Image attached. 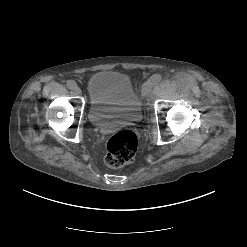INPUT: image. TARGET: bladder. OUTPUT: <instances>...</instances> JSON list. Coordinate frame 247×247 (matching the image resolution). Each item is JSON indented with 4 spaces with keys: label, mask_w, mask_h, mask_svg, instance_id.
Listing matches in <instances>:
<instances>
[{
    "label": "bladder",
    "mask_w": 247,
    "mask_h": 247,
    "mask_svg": "<svg viewBox=\"0 0 247 247\" xmlns=\"http://www.w3.org/2000/svg\"><path fill=\"white\" fill-rule=\"evenodd\" d=\"M88 118L99 130H108L138 120L140 99L129 79L120 72L101 71L87 83Z\"/></svg>",
    "instance_id": "1"
}]
</instances>
